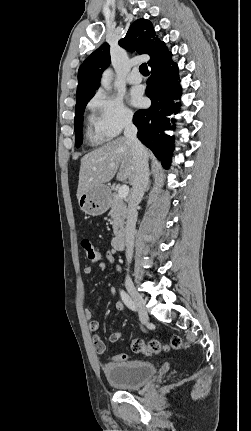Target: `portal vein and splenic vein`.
Returning <instances> with one entry per match:
<instances>
[{
	"mask_svg": "<svg viewBox=\"0 0 251 431\" xmlns=\"http://www.w3.org/2000/svg\"><path fill=\"white\" fill-rule=\"evenodd\" d=\"M129 194V186L122 185L118 190V196L123 199L126 198Z\"/></svg>",
	"mask_w": 251,
	"mask_h": 431,
	"instance_id": "portal-vein-and-splenic-vein-1",
	"label": "portal vein and splenic vein"
}]
</instances>
